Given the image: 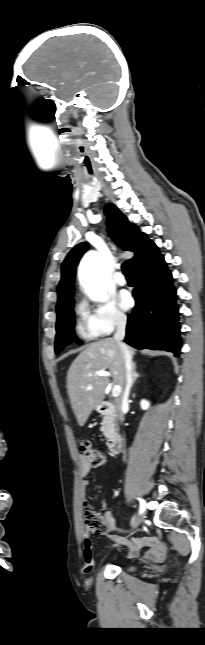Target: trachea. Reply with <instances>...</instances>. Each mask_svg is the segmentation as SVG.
<instances>
[{
	"label": "trachea",
	"instance_id": "obj_1",
	"mask_svg": "<svg viewBox=\"0 0 205 645\" xmlns=\"http://www.w3.org/2000/svg\"><path fill=\"white\" fill-rule=\"evenodd\" d=\"M122 271L125 276H133L132 264L129 261H125L122 264Z\"/></svg>",
	"mask_w": 205,
	"mask_h": 645
}]
</instances>
